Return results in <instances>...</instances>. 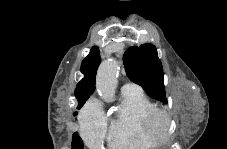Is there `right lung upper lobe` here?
<instances>
[{"label": "right lung upper lobe", "instance_id": "right-lung-upper-lobe-1", "mask_svg": "<svg viewBox=\"0 0 227 149\" xmlns=\"http://www.w3.org/2000/svg\"><path fill=\"white\" fill-rule=\"evenodd\" d=\"M100 61L99 49L97 46H93L90 53L82 61L80 68L84 78L77 84L75 89V96L79 103L78 107L83 106L95 90L96 72Z\"/></svg>", "mask_w": 227, "mask_h": 149}]
</instances>
